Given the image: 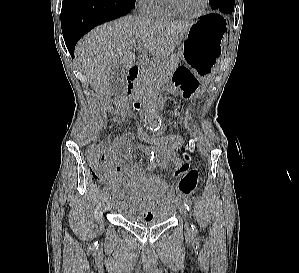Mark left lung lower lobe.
I'll list each match as a JSON object with an SVG mask.
<instances>
[{
  "label": "left lung lower lobe",
  "mask_w": 299,
  "mask_h": 273,
  "mask_svg": "<svg viewBox=\"0 0 299 273\" xmlns=\"http://www.w3.org/2000/svg\"><path fill=\"white\" fill-rule=\"evenodd\" d=\"M217 10L223 13H231L234 10V3H231L229 1H224L219 5Z\"/></svg>",
  "instance_id": "left-lung-lower-lobe-1"
}]
</instances>
